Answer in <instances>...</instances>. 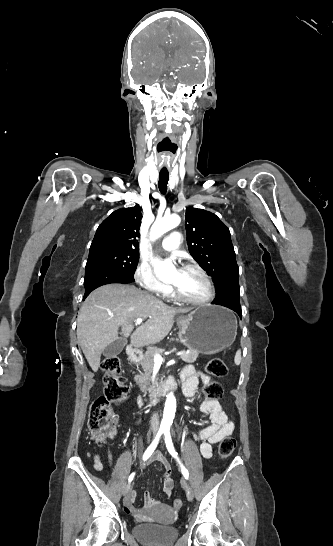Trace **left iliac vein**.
Listing matches in <instances>:
<instances>
[{"mask_svg": "<svg viewBox=\"0 0 333 546\" xmlns=\"http://www.w3.org/2000/svg\"><path fill=\"white\" fill-rule=\"evenodd\" d=\"M183 489H184L185 492H186L187 499H188L189 501H191V500L193 499L194 493H193L192 488L190 487V485H189L187 482H184V483H183Z\"/></svg>", "mask_w": 333, "mask_h": 546, "instance_id": "1", "label": "left iliac vein"}]
</instances>
